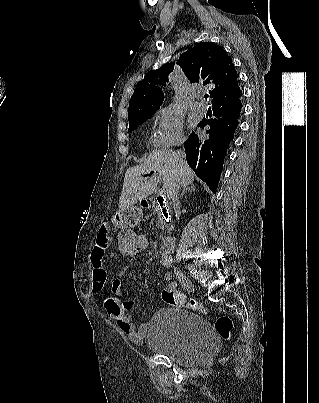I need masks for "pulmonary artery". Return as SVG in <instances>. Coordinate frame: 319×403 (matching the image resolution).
<instances>
[{
  "label": "pulmonary artery",
  "mask_w": 319,
  "mask_h": 403,
  "mask_svg": "<svg viewBox=\"0 0 319 403\" xmlns=\"http://www.w3.org/2000/svg\"><path fill=\"white\" fill-rule=\"evenodd\" d=\"M191 108L200 113V114H204L207 111V105L205 103V101L202 99V97H198L191 105Z\"/></svg>",
  "instance_id": "e3ab8cb5"
}]
</instances>
